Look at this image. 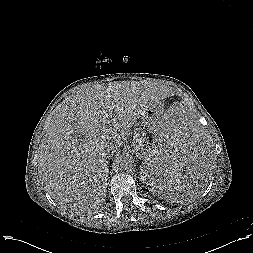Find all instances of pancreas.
Instances as JSON below:
<instances>
[{"label":"pancreas","mask_w":253,"mask_h":253,"mask_svg":"<svg viewBox=\"0 0 253 253\" xmlns=\"http://www.w3.org/2000/svg\"><path fill=\"white\" fill-rule=\"evenodd\" d=\"M142 136H143V133H142V134H140V136H139V137L143 138Z\"/></svg>","instance_id":"cf45deb5"}]
</instances>
